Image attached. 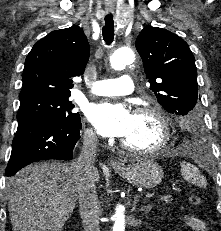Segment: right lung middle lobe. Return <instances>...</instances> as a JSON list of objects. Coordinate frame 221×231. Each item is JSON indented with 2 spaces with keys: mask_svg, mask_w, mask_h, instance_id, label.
Here are the masks:
<instances>
[{
  "mask_svg": "<svg viewBox=\"0 0 221 231\" xmlns=\"http://www.w3.org/2000/svg\"><path fill=\"white\" fill-rule=\"evenodd\" d=\"M70 96L38 95L20 99L18 124L32 118L52 117L67 122L80 121L79 113L72 112Z\"/></svg>",
  "mask_w": 221,
  "mask_h": 231,
  "instance_id": "right-lung-middle-lobe-1",
  "label": "right lung middle lobe"
}]
</instances>
